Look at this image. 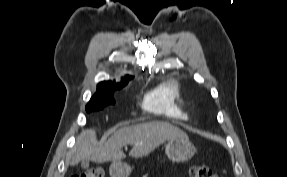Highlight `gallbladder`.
<instances>
[{
  "instance_id": "gallbladder-1",
  "label": "gallbladder",
  "mask_w": 287,
  "mask_h": 177,
  "mask_svg": "<svg viewBox=\"0 0 287 177\" xmlns=\"http://www.w3.org/2000/svg\"><path fill=\"white\" fill-rule=\"evenodd\" d=\"M81 167L86 169L89 167V161L88 160H83L81 161Z\"/></svg>"
}]
</instances>
